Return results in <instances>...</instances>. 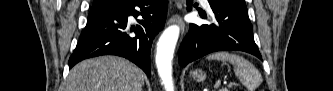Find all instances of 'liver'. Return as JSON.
<instances>
[{"instance_id":"liver-1","label":"liver","mask_w":333,"mask_h":91,"mask_svg":"<svg viewBox=\"0 0 333 91\" xmlns=\"http://www.w3.org/2000/svg\"><path fill=\"white\" fill-rule=\"evenodd\" d=\"M144 74L128 60L103 56L74 66L64 91H142Z\"/></svg>"}]
</instances>
